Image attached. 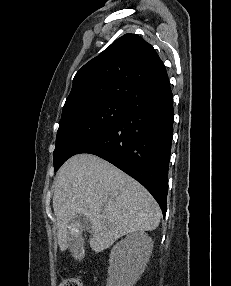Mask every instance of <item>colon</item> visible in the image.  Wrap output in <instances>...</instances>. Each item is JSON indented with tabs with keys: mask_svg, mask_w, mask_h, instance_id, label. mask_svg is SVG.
Wrapping results in <instances>:
<instances>
[{
	"mask_svg": "<svg viewBox=\"0 0 231 286\" xmlns=\"http://www.w3.org/2000/svg\"><path fill=\"white\" fill-rule=\"evenodd\" d=\"M59 286H83V283L77 277H68L62 280Z\"/></svg>",
	"mask_w": 231,
	"mask_h": 286,
	"instance_id": "colon-1",
	"label": "colon"
}]
</instances>
